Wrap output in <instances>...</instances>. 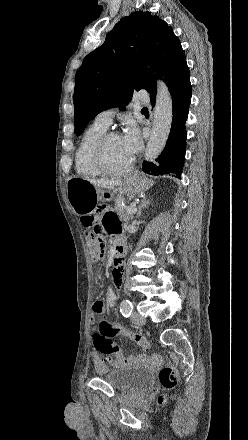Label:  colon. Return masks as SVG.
I'll use <instances>...</instances> for the list:
<instances>
[{
	"label": "colon",
	"instance_id": "colon-1",
	"mask_svg": "<svg viewBox=\"0 0 248 440\" xmlns=\"http://www.w3.org/2000/svg\"><path fill=\"white\" fill-rule=\"evenodd\" d=\"M102 216L103 210L100 207H94L82 218L83 224L91 227L89 236L91 251L95 260L100 259L105 251V228L102 223ZM114 335L126 337L144 349L150 348V342L144 335L102 320L100 331L94 335V345L97 351L107 355L115 365L124 363L125 357L120 346L111 339V336ZM178 379V372L172 365H167L159 371L160 383L166 389L174 388L178 383ZM158 401L163 403L164 397L160 396Z\"/></svg>",
	"mask_w": 248,
	"mask_h": 440
}]
</instances>
